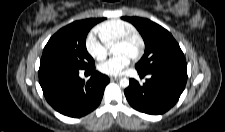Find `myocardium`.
Instances as JSON below:
<instances>
[{
  "mask_svg": "<svg viewBox=\"0 0 225 132\" xmlns=\"http://www.w3.org/2000/svg\"><path fill=\"white\" fill-rule=\"evenodd\" d=\"M133 42H136L138 44V49L132 55V59L138 60L143 56V54L145 52V41L142 38V36L140 34H138L137 32L131 33V34H128V35H125V36L121 37L120 39H118L115 42L114 45H117V44L128 45V44H131Z\"/></svg>",
  "mask_w": 225,
  "mask_h": 132,
  "instance_id": "f54148a6",
  "label": "myocardium"
}]
</instances>
